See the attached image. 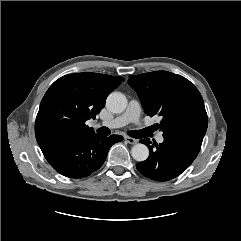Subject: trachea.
<instances>
[{
  "mask_svg": "<svg viewBox=\"0 0 241 241\" xmlns=\"http://www.w3.org/2000/svg\"><path fill=\"white\" fill-rule=\"evenodd\" d=\"M97 132L101 135L108 136L110 134V129L107 127H100ZM149 132V129H142V130H134L130 131L129 135L134 138H143L145 137Z\"/></svg>",
  "mask_w": 241,
  "mask_h": 241,
  "instance_id": "trachea-1",
  "label": "trachea"
}]
</instances>
